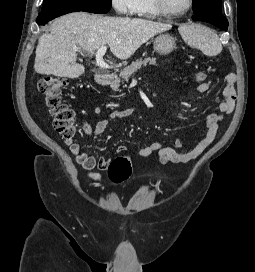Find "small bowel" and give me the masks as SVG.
<instances>
[{"label": "small bowel", "instance_id": "1", "mask_svg": "<svg viewBox=\"0 0 255 272\" xmlns=\"http://www.w3.org/2000/svg\"><path fill=\"white\" fill-rule=\"evenodd\" d=\"M236 80L237 76L235 73H229L226 75L225 86L222 90L224 99L219 103V112L210 114L207 117L204 134L190 149L187 151H181L183 146L181 140H177L174 147H165L162 145L161 141H154L139 149L136 154L140 157L155 156L156 161L162 165L184 164L199 157L215 139L223 117L230 114L234 109L236 102V91L234 85ZM211 86L212 83L210 81H205L197 85L196 91L203 94L209 91ZM135 109V106H130L124 109L114 110L110 112L107 117L98 121L94 128H91L89 125H84L85 133L89 136L92 134L97 136L102 135L110 126L112 121L129 117L135 112ZM65 143L69 146L70 152L76 162L82 166L83 169L89 172V176L92 179L99 180L100 175L92 170L94 168H98L99 170L106 169L110 163V159L105 156L97 157L95 155L88 154L81 149L80 144L72 142L71 140H65ZM125 149L126 147L124 145L119 147L120 151Z\"/></svg>", "mask_w": 255, "mask_h": 272}]
</instances>
